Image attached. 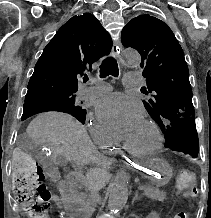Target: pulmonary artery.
Listing matches in <instances>:
<instances>
[{
    "label": "pulmonary artery",
    "instance_id": "e3ab8cb5",
    "mask_svg": "<svg viewBox=\"0 0 211 218\" xmlns=\"http://www.w3.org/2000/svg\"><path fill=\"white\" fill-rule=\"evenodd\" d=\"M145 75L138 73L126 74V79L121 82V87H134V85H147V80H145ZM91 86H83L78 91V97L80 99L97 98L108 94L112 87L109 83L104 82L99 79H91ZM151 88V85H148Z\"/></svg>",
    "mask_w": 211,
    "mask_h": 218
}]
</instances>
